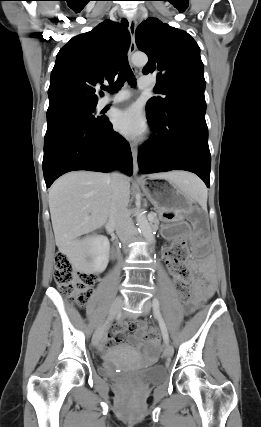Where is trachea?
I'll list each match as a JSON object with an SVG mask.
<instances>
[{
  "label": "trachea",
  "instance_id": "trachea-1",
  "mask_svg": "<svg viewBox=\"0 0 261 427\" xmlns=\"http://www.w3.org/2000/svg\"><path fill=\"white\" fill-rule=\"evenodd\" d=\"M125 81L131 86L136 85V78L129 66L127 58H124L122 61L117 81L110 87V90L113 92L119 91L123 87Z\"/></svg>",
  "mask_w": 261,
  "mask_h": 427
}]
</instances>
